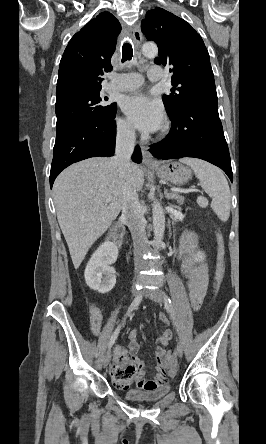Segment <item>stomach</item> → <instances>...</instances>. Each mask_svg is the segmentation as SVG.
Segmentation results:
<instances>
[{"mask_svg": "<svg viewBox=\"0 0 266 444\" xmlns=\"http://www.w3.org/2000/svg\"><path fill=\"white\" fill-rule=\"evenodd\" d=\"M152 171L155 172L159 178L176 185H182L192 177L191 170L178 162H169Z\"/></svg>", "mask_w": 266, "mask_h": 444, "instance_id": "0dacf381", "label": "stomach"}]
</instances>
